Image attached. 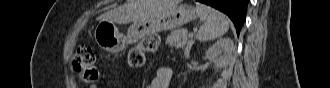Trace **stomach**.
Here are the masks:
<instances>
[{
  "instance_id": "stomach-1",
  "label": "stomach",
  "mask_w": 330,
  "mask_h": 88,
  "mask_svg": "<svg viewBox=\"0 0 330 88\" xmlns=\"http://www.w3.org/2000/svg\"><path fill=\"white\" fill-rule=\"evenodd\" d=\"M196 9L179 1L161 5L146 19L134 22L126 34H121L115 23L100 21L94 31L96 43L105 50L119 53L127 45L135 44L146 35L174 30L197 18Z\"/></svg>"
}]
</instances>
